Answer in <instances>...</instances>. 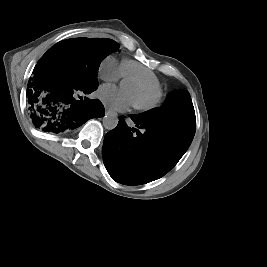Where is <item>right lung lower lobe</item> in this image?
Listing matches in <instances>:
<instances>
[{
  "label": "right lung lower lobe",
  "instance_id": "1",
  "mask_svg": "<svg viewBox=\"0 0 267 267\" xmlns=\"http://www.w3.org/2000/svg\"><path fill=\"white\" fill-rule=\"evenodd\" d=\"M29 80L28 106L36 128L50 133L68 132L91 118L102 117L104 106L98 99L77 100V93L90 94L97 87L77 85L55 66L38 62Z\"/></svg>",
  "mask_w": 267,
  "mask_h": 267
}]
</instances>
